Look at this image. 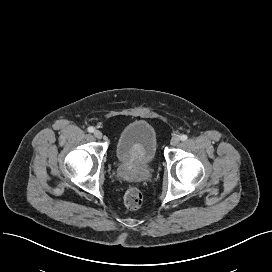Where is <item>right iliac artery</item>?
Wrapping results in <instances>:
<instances>
[{
  "mask_svg": "<svg viewBox=\"0 0 272 272\" xmlns=\"http://www.w3.org/2000/svg\"><path fill=\"white\" fill-rule=\"evenodd\" d=\"M87 130H88V132H90V133L94 132V128H93V127H91V126H90V127H88V129H87Z\"/></svg>",
  "mask_w": 272,
  "mask_h": 272,
  "instance_id": "right-iliac-artery-1",
  "label": "right iliac artery"
}]
</instances>
